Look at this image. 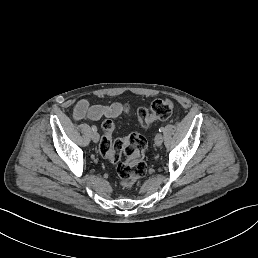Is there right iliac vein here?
I'll return each instance as SVG.
<instances>
[{
    "label": "right iliac vein",
    "instance_id": "right-iliac-vein-1",
    "mask_svg": "<svg viewBox=\"0 0 258 258\" xmlns=\"http://www.w3.org/2000/svg\"><path fill=\"white\" fill-rule=\"evenodd\" d=\"M91 134H92L91 137H92L93 141L96 143L99 142L100 135L98 134V132L94 130L91 132Z\"/></svg>",
    "mask_w": 258,
    "mask_h": 258
}]
</instances>
